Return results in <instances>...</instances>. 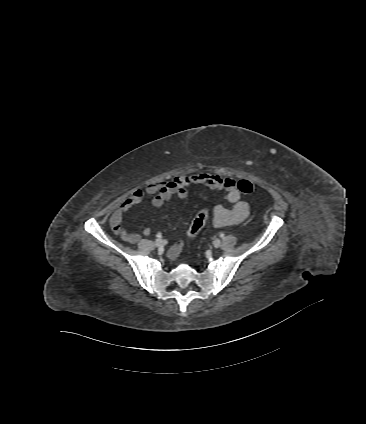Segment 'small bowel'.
<instances>
[{
    "mask_svg": "<svg viewBox=\"0 0 366 424\" xmlns=\"http://www.w3.org/2000/svg\"><path fill=\"white\" fill-rule=\"evenodd\" d=\"M238 182L232 177H223L212 173H199L179 175L170 181L152 183L144 189H137L122 199L117 209L110 218V227L114 234L127 243H137L141 235L136 232L126 230L123 225L124 214L132 207L142 202L145 195L152 197L151 204L155 208L162 207L170 201L173 196L186 199L189 195V188L194 185H201L212 190L224 191L227 200L232 204L231 208L223 205H216L212 211V225L217 228L236 225L244 221L250 213L249 203L241 200V192L237 187ZM151 228L143 229V235L149 236ZM182 249V242L175 243L169 251L170 258H176Z\"/></svg>",
    "mask_w": 366,
    "mask_h": 424,
    "instance_id": "1",
    "label": "small bowel"
}]
</instances>
